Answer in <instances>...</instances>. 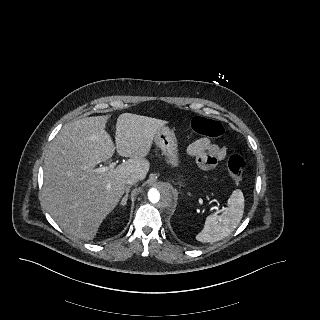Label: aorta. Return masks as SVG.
<instances>
[{"label":"aorta","instance_id":"aorta-1","mask_svg":"<svg viewBox=\"0 0 320 320\" xmlns=\"http://www.w3.org/2000/svg\"><path fill=\"white\" fill-rule=\"evenodd\" d=\"M146 199L154 212L162 214L164 208L173 203V191L168 184L157 183L148 191Z\"/></svg>","mask_w":320,"mask_h":320}]
</instances>
